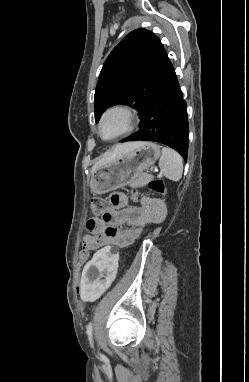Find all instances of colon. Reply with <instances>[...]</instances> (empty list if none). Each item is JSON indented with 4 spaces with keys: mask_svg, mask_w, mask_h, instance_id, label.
Returning <instances> with one entry per match:
<instances>
[{
    "mask_svg": "<svg viewBox=\"0 0 249 382\" xmlns=\"http://www.w3.org/2000/svg\"><path fill=\"white\" fill-rule=\"evenodd\" d=\"M149 187L157 192V193H164L165 191V185L164 182L161 179H153L149 182ZM133 197L136 199L137 195L134 192ZM106 208V201L102 197H93L90 200V210L95 215H101ZM80 261H84L88 257V251L84 248L80 251Z\"/></svg>",
    "mask_w": 249,
    "mask_h": 382,
    "instance_id": "1",
    "label": "colon"
}]
</instances>
